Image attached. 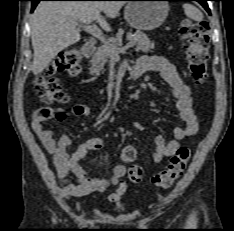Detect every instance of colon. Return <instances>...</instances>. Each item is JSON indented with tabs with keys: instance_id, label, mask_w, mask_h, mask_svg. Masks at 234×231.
<instances>
[{
	"instance_id": "1",
	"label": "colon",
	"mask_w": 234,
	"mask_h": 231,
	"mask_svg": "<svg viewBox=\"0 0 234 231\" xmlns=\"http://www.w3.org/2000/svg\"><path fill=\"white\" fill-rule=\"evenodd\" d=\"M180 35L186 50V59L189 72L196 84H202L207 75L209 35L205 21L194 22L185 19L180 25ZM81 54L78 48L64 49L54 64L36 80V91L39 97L47 103L62 104L68 101V96L55 80L57 74L73 75L78 70ZM191 156V148L180 147L171 157L165 169L152 177L153 184L158 188H167L184 172ZM137 151L132 146L125 147L121 152L124 162H133ZM128 178L133 183L144 179V170L141 166L134 165L129 168Z\"/></svg>"
}]
</instances>
